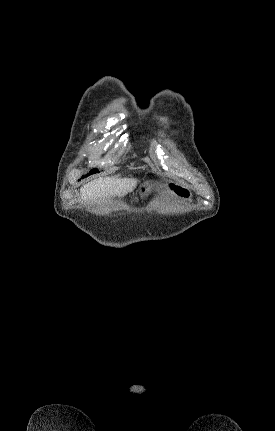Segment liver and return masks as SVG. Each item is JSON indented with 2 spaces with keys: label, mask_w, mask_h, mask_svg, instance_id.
<instances>
[{
  "label": "liver",
  "mask_w": 275,
  "mask_h": 431,
  "mask_svg": "<svg viewBox=\"0 0 275 431\" xmlns=\"http://www.w3.org/2000/svg\"><path fill=\"white\" fill-rule=\"evenodd\" d=\"M136 185V179L100 177L85 184L80 190V195L85 202H100L115 196H125L133 191Z\"/></svg>",
  "instance_id": "1"
}]
</instances>
